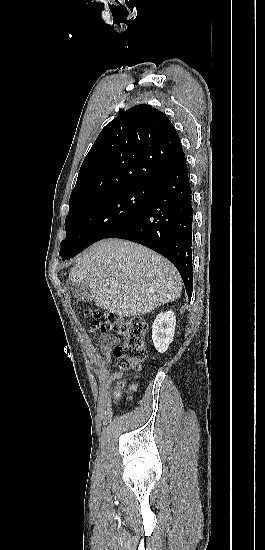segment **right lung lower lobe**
<instances>
[{
  "label": "right lung lower lobe",
  "mask_w": 265,
  "mask_h": 550,
  "mask_svg": "<svg viewBox=\"0 0 265 550\" xmlns=\"http://www.w3.org/2000/svg\"><path fill=\"white\" fill-rule=\"evenodd\" d=\"M192 223V191L184 155L157 179L144 210L105 238L134 241L165 256L178 269L191 299Z\"/></svg>",
  "instance_id": "right-lung-lower-lobe-1"
}]
</instances>
